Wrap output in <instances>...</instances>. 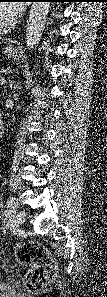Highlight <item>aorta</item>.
<instances>
[{
    "mask_svg": "<svg viewBox=\"0 0 107 297\" xmlns=\"http://www.w3.org/2000/svg\"><path fill=\"white\" fill-rule=\"evenodd\" d=\"M50 2H33L27 20L25 43L28 51L34 49L45 28Z\"/></svg>",
    "mask_w": 107,
    "mask_h": 297,
    "instance_id": "762f6f07",
    "label": "aorta"
}]
</instances>
